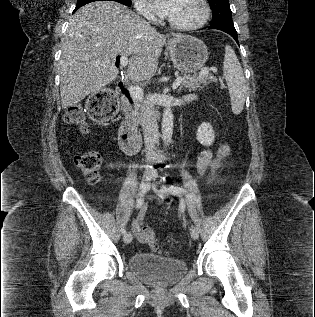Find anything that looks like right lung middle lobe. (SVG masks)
<instances>
[{"instance_id":"obj_1","label":"right lung middle lobe","mask_w":315,"mask_h":317,"mask_svg":"<svg viewBox=\"0 0 315 317\" xmlns=\"http://www.w3.org/2000/svg\"><path fill=\"white\" fill-rule=\"evenodd\" d=\"M94 1H99V0H78L76 6H83L85 4H88V3L94 2ZM111 1H116V2L122 3L126 6H131V0H111Z\"/></svg>"}]
</instances>
